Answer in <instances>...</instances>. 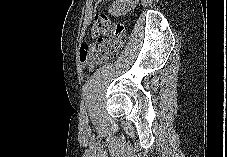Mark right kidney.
Returning <instances> with one entry per match:
<instances>
[{
	"mask_svg": "<svg viewBox=\"0 0 227 157\" xmlns=\"http://www.w3.org/2000/svg\"><path fill=\"white\" fill-rule=\"evenodd\" d=\"M126 2H130V1L129 0H118V1L114 2L113 6L109 10V12L115 16L121 15L123 12H126L129 9V7H127L125 5ZM123 3H124V5H123Z\"/></svg>",
	"mask_w": 227,
	"mask_h": 157,
	"instance_id": "1",
	"label": "right kidney"
}]
</instances>
